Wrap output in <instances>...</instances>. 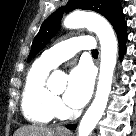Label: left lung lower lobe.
<instances>
[{
  "mask_svg": "<svg viewBox=\"0 0 136 136\" xmlns=\"http://www.w3.org/2000/svg\"><path fill=\"white\" fill-rule=\"evenodd\" d=\"M118 41H119V49H120V57L122 58L125 53V43L127 40V34H126V23L123 20L116 28H115ZM69 129H75V125H69L67 126Z\"/></svg>",
  "mask_w": 136,
  "mask_h": 136,
  "instance_id": "1",
  "label": "left lung lower lobe"
}]
</instances>
